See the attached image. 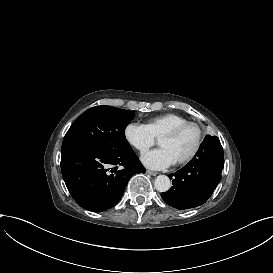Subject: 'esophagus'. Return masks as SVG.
<instances>
[{
  "label": "esophagus",
  "mask_w": 273,
  "mask_h": 273,
  "mask_svg": "<svg viewBox=\"0 0 273 273\" xmlns=\"http://www.w3.org/2000/svg\"><path fill=\"white\" fill-rule=\"evenodd\" d=\"M146 173L152 176H156L158 173L150 170H146Z\"/></svg>",
  "instance_id": "34e87169"
}]
</instances>
